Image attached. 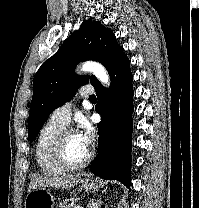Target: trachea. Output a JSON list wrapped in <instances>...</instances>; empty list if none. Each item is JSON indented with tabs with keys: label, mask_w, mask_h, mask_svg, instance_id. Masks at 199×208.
<instances>
[{
	"label": "trachea",
	"mask_w": 199,
	"mask_h": 208,
	"mask_svg": "<svg viewBox=\"0 0 199 208\" xmlns=\"http://www.w3.org/2000/svg\"><path fill=\"white\" fill-rule=\"evenodd\" d=\"M89 100H90V101H96L97 99H96V96L93 95V96H91V97L89 98Z\"/></svg>",
	"instance_id": "obj_1"
}]
</instances>
